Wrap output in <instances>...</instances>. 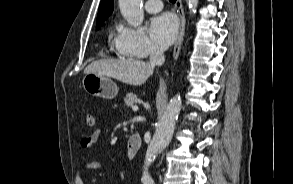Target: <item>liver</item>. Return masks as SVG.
<instances>
[{
  "label": "liver",
  "mask_w": 293,
  "mask_h": 184,
  "mask_svg": "<svg viewBox=\"0 0 293 184\" xmlns=\"http://www.w3.org/2000/svg\"><path fill=\"white\" fill-rule=\"evenodd\" d=\"M84 73L113 77L129 85H142L152 75L153 66L132 58L101 59L89 64Z\"/></svg>",
  "instance_id": "obj_1"
}]
</instances>
